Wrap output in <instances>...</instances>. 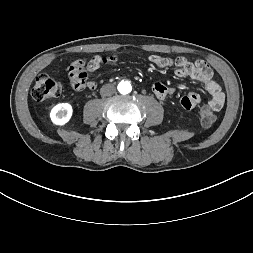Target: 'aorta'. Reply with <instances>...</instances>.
<instances>
[{
    "label": "aorta",
    "instance_id": "1",
    "mask_svg": "<svg viewBox=\"0 0 253 253\" xmlns=\"http://www.w3.org/2000/svg\"><path fill=\"white\" fill-rule=\"evenodd\" d=\"M118 91L121 93V94H128L131 92L132 90V87H131V84L128 82V81H121L119 84H118Z\"/></svg>",
    "mask_w": 253,
    "mask_h": 253
}]
</instances>
